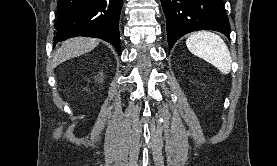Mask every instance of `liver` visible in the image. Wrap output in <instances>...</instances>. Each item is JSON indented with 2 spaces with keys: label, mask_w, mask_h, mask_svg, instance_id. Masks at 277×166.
<instances>
[{
  "label": "liver",
  "mask_w": 277,
  "mask_h": 166,
  "mask_svg": "<svg viewBox=\"0 0 277 166\" xmlns=\"http://www.w3.org/2000/svg\"><path fill=\"white\" fill-rule=\"evenodd\" d=\"M98 44L99 41L94 38L75 37L68 39L54 53L52 66L55 67L66 60L85 54L97 47Z\"/></svg>",
  "instance_id": "obj_1"
}]
</instances>
